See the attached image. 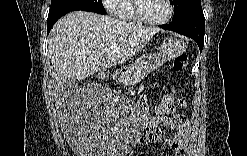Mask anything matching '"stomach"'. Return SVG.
I'll list each match as a JSON object with an SVG mask.
<instances>
[{
    "instance_id": "obj_1",
    "label": "stomach",
    "mask_w": 247,
    "mask_h": 156,
    "mask_svg": "<svg viewBox=\"0 0 247 156\" xmlns=\"http://www.w3.org/2000/svg\"><path fill=\"white\" fill-rule=\"evenodd\" d=\"M186 49V44L181 38H168L163 41L157 53L144 55L136 62L142 63L149 71L155 70L165 62L176 58Z\"/></svg>"
}]
</instances>
